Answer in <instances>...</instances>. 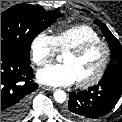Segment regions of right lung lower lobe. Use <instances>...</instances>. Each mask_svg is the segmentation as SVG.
Masks as SVG:
<instances>
[{"instance_id": "98d812e1", "label": "right lung lower lobe", "mask_w": 122, "mask_h": 122, "mask_svg": "<svg viewBox=\"0 0 122 122\" xmlns=\"http://www.w3.org/2000/svg\"><path fill=\"white\" fill-rule=\"evenodd\" d=\"M33 77L30 61L1 48V122H16L24 116L29 95L38 88Z\"/></svg>"}]
</instances>
